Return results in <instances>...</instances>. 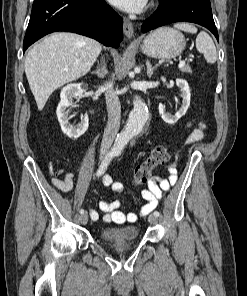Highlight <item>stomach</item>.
<instances>
[{"instance_id":"obj_1","label":"stomach","mask_w":247,"mask_h":296,"mask_svg":"<svg viewBox=\"0 0 247 296\" xmlns=\"http://www.w3.org/2000/svg\"><path fill=\"white\" fill-rule=\"evenodd\" d=\"M185 46V38L179 31L162 27L144 38L141 51L153 58L173 59L184 51Z\"/></svg>"}]
</instances>
